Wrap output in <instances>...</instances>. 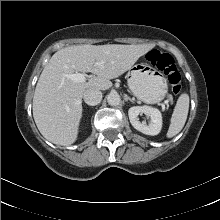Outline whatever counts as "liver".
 Listing matches in <instances>:
<instances>
[{"instance_id": "obj_1", "label": "liver", "mask_w": 220, "mask_h": 220, "mask_svg": "<svg viewBox=\"0 0 220 220\" xmlns=\"http://www.w3.org/2000/svg\"><path fill=\"white\" fill-rule=\"evenodd\" d=\"M153 47L152 44H87L57 51L44 67L33 97V117L40 133L56 145L73 144L78 136L85 90L111 88V79L128 71ZM76 72H91L96 76L87 82L64 77Z\"/></svg>"}]
</instances>
